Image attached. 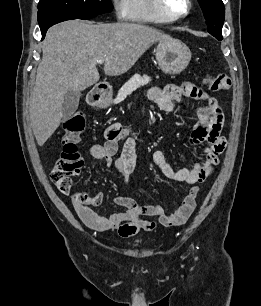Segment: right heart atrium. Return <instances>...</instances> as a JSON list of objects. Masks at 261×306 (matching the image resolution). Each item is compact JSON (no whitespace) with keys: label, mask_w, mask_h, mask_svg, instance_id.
Wrapping results in <instances>:
<instances>
[{"label":"right heart atrium","mask_w":261,"mask_h":306,"mask_svg":"<svg viewBox=\"0 0 261 306\" xmlns=\"http://www.w3.org/2000/svg\"><path fill=\"white\" fill-rule=\"evenodd\" d=\"M129 0H111V5L117 19L125 20L129 17Z\"/></svg>","instance_id":"right-heart-atrium-1"}]
</instances>
